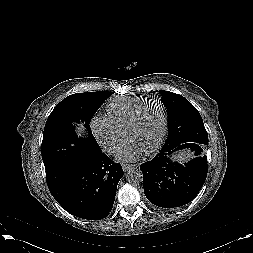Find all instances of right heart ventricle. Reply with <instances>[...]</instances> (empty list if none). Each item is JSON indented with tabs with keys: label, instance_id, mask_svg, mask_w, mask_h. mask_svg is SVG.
I'll return each instance as SVG.
<instances>
[{
	"label": "right heart ventricle",
	"instance_id": "obj_1",
	"mask_svg": "<svg viewBox=\"0 0 253 253\" xmlns=\"http://www.w3.org/2000/svg\"><path fill=\"white\" fill-rule=\"evenodd\" d=\"M147 100L137 96L115 98L108 104V119L118 130L124 132L134 112Z\"/></svg>",
	"mask_w": 253,
	"mask_h": 253
}]
</instances>
